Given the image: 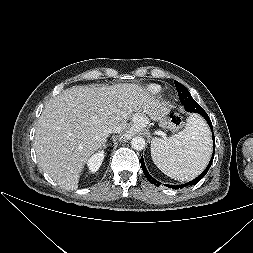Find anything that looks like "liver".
<instances>
[{
    "label": "liver",
    "mask_w": 253,
    "mask_h": 253,
    "mask_svg": "<svg viewBox=\"0 0 253 253\" xmlns=\"http://www.w3.org/2000/svg\"><path fill=\"white\" fill-rule=\"evenodd\" d=\"M168 113L137 84L73 86L51 98L39 117L34 148L39 166L66 190L78 188L89 157L100 149L108 128H138ZM119 131V132H120Z\"/></svg>",
    "instance_id": "6515ba94"
}]
</instances>
